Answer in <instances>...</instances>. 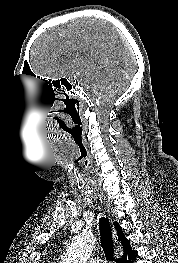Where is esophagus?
Listing matches in <instances>:
<instances>
[{"label": "esophagus", "mask_w": 178, "mask_h": 263, "mask_svg": "<svg viewBox=\"0 0 178 263\" xmlns=\"http://www.w3.org/2000/svg\"><path fill=\"white\" fill-rule=\"evenodd\" d=\"M113 237H114V239H115V242H116V237H117V235H116V231H115V229L113 228Z\"/></svg>", "instance_id": "obj_1"}]
</instances>
